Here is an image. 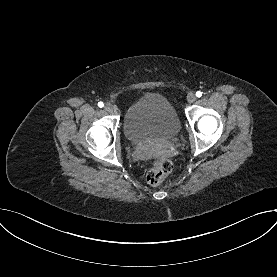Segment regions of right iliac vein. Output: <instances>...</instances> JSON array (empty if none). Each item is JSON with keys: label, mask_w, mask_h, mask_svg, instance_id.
<instances>
[{"label": "right iliac vein", "mask_w": 277, "mask_h": 277, "mask_svg": "<svg viewBox=\"0 0 277 277\" xmlns=\"http://www.w3.org/2000/svg\"><path fill=\"white\" fill-rule=\"evenodd\" d=\"M104 110L107 112H112L113 111V105L111 103H106L104 106Z\"/></svg>", "instance_id": "63e3f726"}]
</instances>
